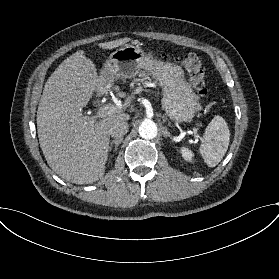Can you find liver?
I'll return each instance as SVG.
<instances>
[{"mask_svg": "<svg viewBox=\"0 0 279 279\" xmlns=\"http://www.w3.org/2000/svg\"><path fill=\"white\" fill-rule=\"evenodd\" d=\"M124 37L101 42L113 50L131 42ZM112 82L109 73L99 77L84 49L66 58L45 83L36 115L40 148L49 167L61 178L78 185L93 184L104 177L108 162L111 125L131 119L128 113L84 116L82 110L102 86Z\"/></svg>", "mask_w": 279, "mask_h": 279, "instance_id": "obj_1", "label": "liver"}]
</instances>
